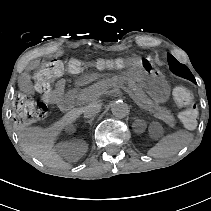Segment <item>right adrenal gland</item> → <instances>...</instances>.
<instances>
[{"label":"right adrenal gland","mask_w":211,"mask_h":211,"mask_svg":"<svg viewBox=\"0 0 211 211\" xmlns=\"http://www.w3.org/2000/svg\"><path fill=\"white\" fill-rule=\"evenodd\" d=\"M94 120V118L92 117V118H90L89 120H86L85 122L86 123H89V124H92V121Z\"/></svg>","instance_id":"1"}]
</instances>
